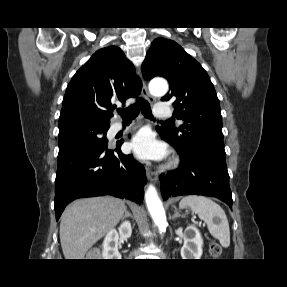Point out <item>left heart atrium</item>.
I'll list each match as a JSON object with an SVG mask.
<instances>
[{"mask_svg":"<svg viewBox=\"0 0 287 287\" xmlns=\"http://www.w3.org/2000/svg\"><path fill=\"white\" fill-rule=\"evenodd\" d=\"M130 149L143 160H158L166 154L165 146L156 141L154 135L148 130H141L132 138Z\"/></svg>","mask_w":287,"mask_h":287,"instance_id":"1","label":"left heart atrium"}]
</instances>
